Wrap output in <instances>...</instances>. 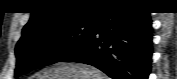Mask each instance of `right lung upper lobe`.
<instances>
[{"label": "right lung upper lobe", "instance_id": "1", "mask_svg": "<svg viewBox=\"0 0 177 79\" xmlns=\"http://www.w3.org/2000/svg\"><path fill=\"white\" fill-rule=\"evenodd\" d=\"M130 0H39L36 1L31 18L24 26L22 36L42 27L75 20H95L103 10Z\"/></svg>", "mask_w": 177, "mask_h": 79}]
</instances>
